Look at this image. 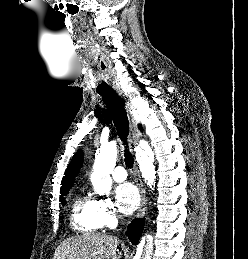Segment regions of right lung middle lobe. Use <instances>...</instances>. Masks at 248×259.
Segmentation results:
<instances>
[{
  "mask_svg": "<svg viewBox=\"0 0 248 259\" xmlns=\"http://www.w3.org/2000/svg\"><path fill=\"white\" fill-rule=\"evenodd\" d=\"M68 192H69V189L61 191V194L62 195H66ZM62 195L60 196V201H61L62 205H65L66 201H65V199H64V197Z\"/></svg>",
  "mask_w": 248,
  "mask_h": 259,
  "instance_id": "obj_1",
  "label": "right lung middle lobe"
}]
</instances>
